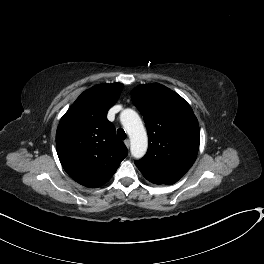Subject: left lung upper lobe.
<instances>
[{
	"label": "left lung upper lobe",
	"instance_id": "1",
	"mask_svg": "<svg viewBox=\"0 0 264 264\" xmlns=\"http://www.w3.org/2000/svg\"><path fill=\"white\" fill-rule=\"evenodd\" d=\"M131 99L143 115L149 140L147 153L136 166L150 182L176 183L193 165L199 149V125L192 108L158 83L136 87Z\"/></svg>",
	"mask_w": 264,
	"mask_h": 264
}]
</instances>
